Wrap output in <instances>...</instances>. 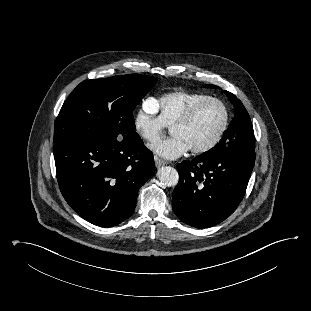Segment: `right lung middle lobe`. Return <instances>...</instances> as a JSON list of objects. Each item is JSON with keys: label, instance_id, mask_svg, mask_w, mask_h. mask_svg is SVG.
Wrapping results in <instances>:
<instances>
[{"label": "right lung middle lobe", "instance_id": "dd1d6c3e", "mask_svg": "<svg viewBox=\"0 0 311 311\" xmlns=\"http://www.w3.org/2000/svg\"><path fill=\"white\" fill-rule=\"evenodd\" d=\"M156 82L155 77L138 74L83 81L59 112L54 143L67 139H138L132 111Z\"/></svg>", "mask_w": 311, "mask_h": 311}]
</instances>
